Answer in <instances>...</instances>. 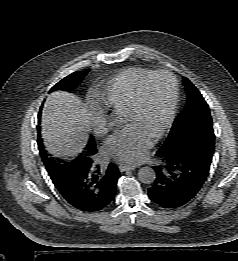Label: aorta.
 <instances>
[{
  "label": "aorta",
  "mask_w": 238,
  "mask_h": 261,
  "mask_svg": "<svg viewBox=\"0 0 238 261\" xmlns=\"http://www.w3.org/2000/svg\"><path fill=\"white\" fill-rule=\"evenodd\" d=\"M156 173L155 171L148 166L141 167L138 170V179L144 184H150L155 181Z\"/></svg>",
  "instance_id": "762f6f07"
}]
</instances>
